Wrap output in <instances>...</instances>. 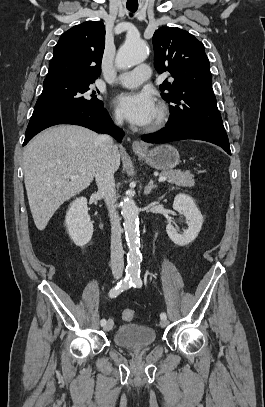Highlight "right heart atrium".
<instances>
[{
  "label": "right heart atrium",
  "instance_id": "d8ad5b80",
  "mask_svg": "<svg viewBox=\"0 0 265 407\" xmlns=\"http://www.w3.org/2000/svg\"><path fill=\"white\" fill-rule=\"evenodd\" d=\"M113 122H114L116 125H121V124H122V117L120 116V114L114 113V115H113Z\"/></svg>",
  "mask_w": 265,
  "mask_h": 407
}]
</instances>
